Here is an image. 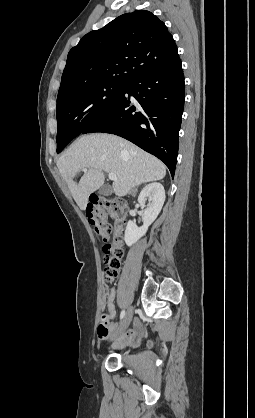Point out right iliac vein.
I'll list each match as a JSON object with an SVG mask.
<instances>
[{
  "instance_id": "right-iliac-vein-1",
  "label": "right iliac vein",
  "mask_w": 255,
  "mask_h": 418,
  "mask_svg": "<svg viewBox=\"0 0 255 418\" xmlns=\"http://www.w3.org/2000/svg\"><path fill=\"white\" fill-rule=\"evenodd\" d=\"M132 317H133V308L130 307L128 309V311H127V313H126L123 321L121 322V324H120V326L118 328V331L119 332L125 330L129 326V324H130V322L132 320Z\"/></svg>"
}]
</instances>
